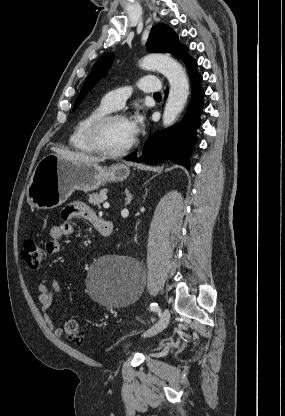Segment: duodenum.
<instances>
[{
	"label": "duodenum",
	"instance_id": "1",
	"mask_svg": "<svg viewBox=\"0 0 285 416\" xmlns=\"http://www.w3.org/2000/svg\"><path fill=\"white\" fill-rule=\"evenodd\" d=\"M92 224H93V226L96 227L99 234L104 239H109L112 236V233H113V223L112 222L96 217L93 220Z\"/></svg>",
	"mask_w": 285,
	"mask_h": 416
}]
</instances>
